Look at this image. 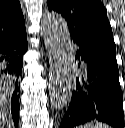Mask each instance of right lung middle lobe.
Returning a JSON list of instances; mask_svg holds the SVG:
<instances>
[{"label":"right lung middle lobe","instance_id":"1","mask_svg":"<svg viewBox=\"0 0 125 128\" xmlns=\"http://www.w3.org/2000/svg\"><path fill=\"white\" fill-rule=\"evenodd\" d=\"M1 80H2V81H5V77L2 76V77H1Z\"/></svg>","mask_w":125,"mask_h":128}]
</instances>
